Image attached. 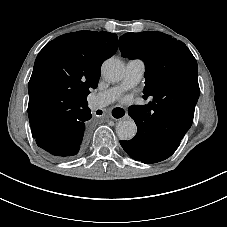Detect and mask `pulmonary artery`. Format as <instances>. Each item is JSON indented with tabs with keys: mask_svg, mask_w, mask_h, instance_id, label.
Wrapping results in <instances>:
<instances>
[{
	"mask_svg": "<svg viewBox=\"0 0 227 227\" xmlns=\"http://www.w3.org/2000/svg\"><path fill=\"white\" fill-rule=\"evenodd\" d=\"M144 71L145 65L143 61L138 59L129 60L121 83L92 96L90 98V109H101L114 103L126 90L138 84L143 77Z\"/></svg>",
	"mask_w": 227,
	"mask_h": 227,
	"instance_id": "e3ab8cb5",
	"label": "pulmonary artery"
}]
</instances>
